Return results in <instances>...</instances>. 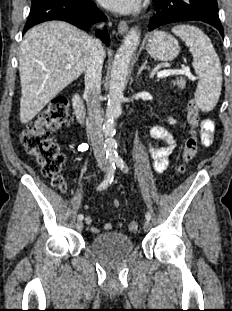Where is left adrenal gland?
Segmentation results:
<instances>
[{
	"instance_id": "a2214340",
	"label": "left adrenal gland",
	"mask_w": 232,
	"mask_h": 311,
	"mask_svg": "<svg viewBox=\"0 0 232 311\" xmlns=\"http://www.w3.org/2000/svg\"><path fill=\"white\" fill-rule=\"evenodd\" d=\"M145 69H149V67L147 66V59H145L144 63L142 64V66L140 67L139 71H138V76L141 74V72Z\"/></svg>"
}]
</instances>
